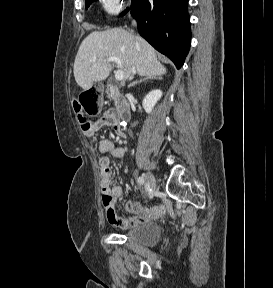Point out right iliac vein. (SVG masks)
Masks as SVG:
<instances>
[{"label": "right iliac vein", "mask_w": 273, "mask_h": 288, "mask_svg": "<svg viewBox=\"0 0 273 288\" xmlns=\"http://www.w3.org/2000/svg\"><path fill=\"white\" fill-rule=\"evenodd\" d=\"M146 183L149 188L155 189L156 181L154 175L151 172H147L146 174Z\"/></svg>", "instance_id": "right-iliac-vein-1"}]
</instances>
